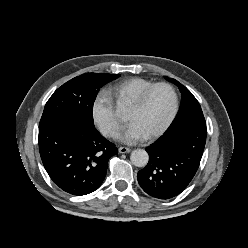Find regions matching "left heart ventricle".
Wrapping results in <instances>:
<instances>
[{
	"label": "left heart ventricle",
	"mask_w": 248,
	"mask_h": 248,
	"mask_svg": "<svg viewBox=\"0 0 248 248\" xmlns=\"http://www.w3.org/2000/svg\"><path fill=\"white\" fill-rule=\"evenodd\" d=\"M173 97L166 87L155 88L148 96L144 106L134 111L128 109L126 119L149 136L162 127L172 110Z\"/></svg>",
	"instance_id": "1"
}]
</instances>
